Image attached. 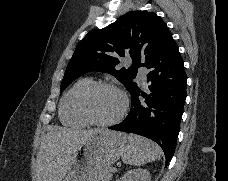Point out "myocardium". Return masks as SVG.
<instances>
[{"mask_svg": "<svg viewBox=\"0 0 228 181\" xmlns=\"http://www.w3.org/2000/svg\"><path fill=\"white\" fill-rule=\"evenodd\" d=\"M102 87H109V88L115 89L120 94L122 101H123L122 109L120 110V112L116 116H114L113 118H110L108 120H97V119L93 118L92 115L90 114V112L88 110V106H87V98H88L89 94L92 91H94L98 88H102ZM128 107H129V101H128L126 94L123 92V90H121L113 82H109V81H100V82L92 83L82 93V95L80 96L79 101H78V109H79V112H80V115L82 116V118H84L90 124L97 125V126H109V125L117 123L124 117V115L126 114V112L128 110Z\"/></svg>", "mask_w": 228, "mask_h": 181, "instance_id": "obj_1", "label": "myocardium"}]
</instances>
